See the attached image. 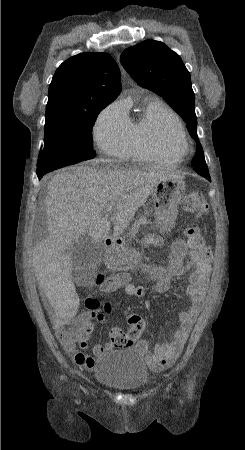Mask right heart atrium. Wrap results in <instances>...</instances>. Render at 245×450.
I'll return each mask as SVG.
<instances>
[{"label": "right heart atrium", "mask_w": 245, "mask_h": 450, "mask_svg": "<svg viewBox=\"0 0 245 450\" xmlns=\"http://www.w3.org/2000/svg\"><path fill=\"white\" fill-rule=\"evenodd\" d=\"M93 137L103 154L118 160L125 159L130 147V120L121 102L108 105L97 117Z\"/></svg>", "instance_id": "obj_1"}]
</instances>
